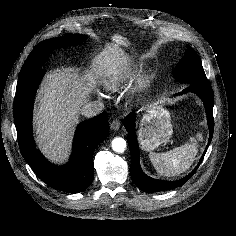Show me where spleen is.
<instances>
[{
  "instance_id": "spleen-1",
  "label": "spleen",
  "mask_w": 236,
  "mask_h": 236,
  "mask_svg": "<svg viewBox=\"0 0 236 236\" xmlns=\"http://www.w3.org/2000/svg\"><path fill=\"white\" fill-rule=\"evenodd\" d=\"M202 134L196 135L197 140H202ZM194 137L180 147H176L168 152L149 154L150 161L156 171L166 177L178 176L190 168L195 161L198 152V143Z\"/></svg>"
}]
</instances>
